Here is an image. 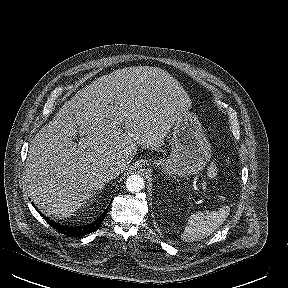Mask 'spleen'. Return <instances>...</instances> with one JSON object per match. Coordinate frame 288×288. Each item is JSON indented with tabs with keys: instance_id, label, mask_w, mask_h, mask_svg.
Masks as SVG:
<instances>
[{
	"instance_id": "3e777b00",
	"label": "spleen",
	"mask_w": 288,
	"mask_h": 288,
	"mask_svg": "<svg viewBox=\"0 0 288 288\" xmlns=\"http://www.w3.org/2000/svg\"><path fill=\"white\" fill-rule=\"evenodd\" d=\"M228 215V207H223L209 213L198 211L191 214L184 231L181 234V239L185 242H194L204 239L219 228Z\"/></svg>"
}]
</instances>
